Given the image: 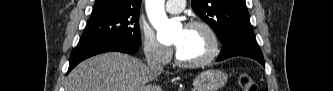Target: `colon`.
<instances>
[{
    "label": "colon",
    "mask_w": 333,
    "mask_h": 91,
    "mask_svg": "<svg viewBox=\"0 0 333 91\" xmlns=\"http://www.w3.org/2000/svg\"><path fill=\"white\" fill-rule=\"evenodd\" d=\"M239 87L242 91H257V85L248 74H241L238 79Z\"/></svg>",
    "instance_id": "obj_1"
}]
</instances>
